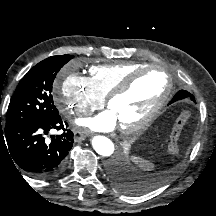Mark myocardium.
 Returning a JSON list of instances; mask_svg holds the SVG:
<instances>
[{"mask_svg": "<svg viewBox=\"0 0 216 216\" xmlns=\"http://www.w3.org/2000/svg\"><path fill=\"white\" fill-rule=\"evenodd\" d=\"M158 70L166 77V89L161 97L157 100L151 110L139 121L130 125H122L120 126V130L122 133L126 135L137 133L144 128H146L160 113L163 107L168 102L172 89L173 83L170 75L168 72L160 67L157 66H143L140 67L130 74H128L107 96H106V106L110 108L111 102L118 97L123 96L126 94L133 86V84L144 74Z\"/></svg>", "mask_w": 216, "mask_h": 216, "instance_id": "myocardium-1", "label": "myocardium"}]
</instances>
